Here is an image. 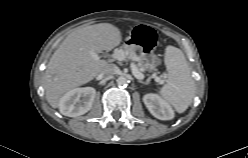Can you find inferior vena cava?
<instances>
[{
  "label": "inferior vena cava",
  "instance_id": "1",
  "mask_svg": "<svg viewBox=\"0 0 248 158\" xmlns=\"http://www.w3.org/2000/svg\"><path fill=\"white\" fill-rule=\"evenodd\" d=\"M116 68L117 67L114 64H107L99 76L101 78H110L115 74Z\"/></svg>",
  "mask_w": 248,
  "mask_h": 158
}]
</instances>
